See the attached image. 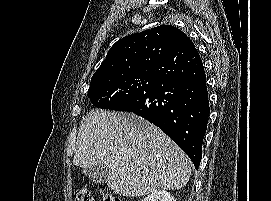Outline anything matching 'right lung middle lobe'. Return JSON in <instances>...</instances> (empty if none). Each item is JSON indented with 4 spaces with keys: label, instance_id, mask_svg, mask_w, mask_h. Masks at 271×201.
Returning a JSON list of instances; mask_svg holds the SVG:
<instances>
[{
    "label": "right lung middle lobe",
    "instance_id": "1",
    "mask_svg": "<svg viewBox=\"0 0 271 201\" xmlns=\"http://www.w3.org/2000/svg\"><path fill=\"white\" fill-rule=\"evenodd\" d=\"M152 80L150 71H130L93 78L88 95L97 108L118 111L126 101L146 91Z\"/></svg>",
    "mask_w": 271,
    "mask_h": 201
}]
</instances>
